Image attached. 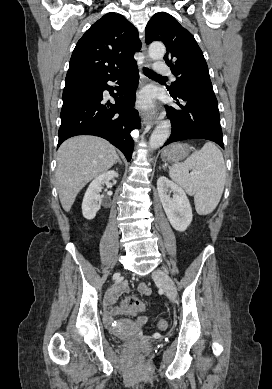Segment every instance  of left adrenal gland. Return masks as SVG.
Instances as JSON below:
<instances>
[{
  "mask_svg": "<svg viewBox=\"0 0 272 389\" xmlns=\"http://www.w3.org/2000/svg\"><path fill=\"white\" fill-rule=\"evenodd\" d=\"M162 168L165 169V168H166V165H163Z\"/></svg>",
  "mask_w": 272,
  "mask_h": 389,
  "instance_id": "left-adrenal-gland-1",
  "label": "left adrenal gland"
}]
</instances>
